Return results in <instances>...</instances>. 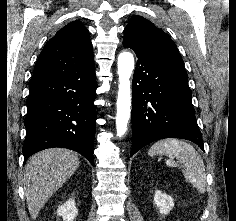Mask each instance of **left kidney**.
I'll return each instance as SVG.
<instances>
[{"mask_svg": "<svg viewBox=\"0 0 236 221\" xmlns=\"http://www.w3.org/2000/svg\"><path fill=\"white\" fill-rule=\"evenodd\" d=\"M154 203L162 215H167L174 207L173 198L168 194L161 192L160 190L155 191Z\"/></svg>", "mask_w": 236, "mask_h": 221, "instance_id": "left-kidney-1", "label": "left kidney"}]
</instances>
